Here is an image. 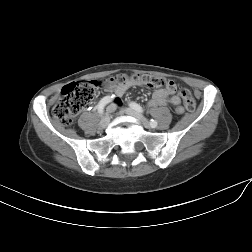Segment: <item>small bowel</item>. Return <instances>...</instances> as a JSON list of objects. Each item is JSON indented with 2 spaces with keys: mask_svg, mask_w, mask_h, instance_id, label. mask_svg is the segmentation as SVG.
<instances>
[{
  "mask_svg": "<svg viewBox=\"0 0 252 252\" xmlns=\"http://www.w3.org/2000/svg\"><path fill=\"white\" fill-rule=\"evenodd\" d=\"M139 85H142V83L136 81H129L126 84H117L109 79L104 83V88L107 91L112 92L116 96L120 97L128 88ZM175 91L176 89L169 90L168 88L156 90L153 93L151 100L148 102V106L157 107L170 103L177 107L178 112H181V107H179L181 99L178 95L175 94Z\"/></svg>",
  "mask_w": 252,
  "mask_h": 252,
  "instance_id": "obj_1",
  "label": "small bowel"
}]
</instances>
